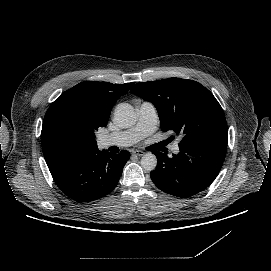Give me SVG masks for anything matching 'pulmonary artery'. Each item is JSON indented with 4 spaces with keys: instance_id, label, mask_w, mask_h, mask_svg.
<instances>
[{
    "instance_id": "pulmonary-artery-1",
    "label": "pulmonary artery",
    "mask_w": 271,
    "mask_h": 271,
    "mask_svg": "<svg viewBox=\"0 0 271 271\" xmlns=\"http://www.w3.org/2000/svg\"><path fill=\"white\" fill-rule=\"evenodd\" d=\"M158 124L159 118L155 105L149 101H142L137 107L136 124L125 131L98 137L97 146L100 149L131 146L152 134ZM171 152L175 155L179 153L178 142L171 147Z\"/></svg>"
}]
</instances>
